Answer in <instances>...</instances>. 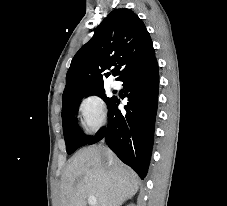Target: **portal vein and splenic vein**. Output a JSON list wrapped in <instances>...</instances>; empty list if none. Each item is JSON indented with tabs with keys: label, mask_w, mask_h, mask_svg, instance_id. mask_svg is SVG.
<instances>
[{
	"label": "portal vein and splenic vein",
	"mask_w": 227,
	"mask_h": 206,
	"mask_svg": "<svg viewBox=\"0 0 227 206\" xmlns=\"http://www.w3.org/2000/svg\"><path fill=\"white\" fill-rule=\"evenodd\" d=\"M88 203L91 205V206H96L97 204V200L94 196H89L88 197Z\"/></svg>",
	"instance_id": "portal-vein-and-splenic-vein-1"
}]
</instances>
